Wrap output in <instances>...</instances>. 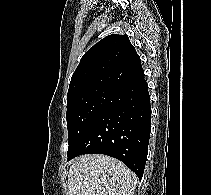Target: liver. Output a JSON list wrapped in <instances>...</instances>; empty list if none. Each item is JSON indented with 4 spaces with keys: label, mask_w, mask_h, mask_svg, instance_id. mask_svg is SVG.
<instances>
[{
    "label": "liver",
    "mask_w": 211,
    "mask_h": 195,
    "mask_svg": "<svg viewBox=\"0 0 211 195\" xmlns=\"http://www.w3.org/2000/svg\"><path fill=\"white\" fill-rule=\"evenodd\" d=\"M136 184L123 162L104 154L79 156L68 172V195H133Z\"/></svg>",
    "instance_id": "6515ba94"
}]
</instances>
